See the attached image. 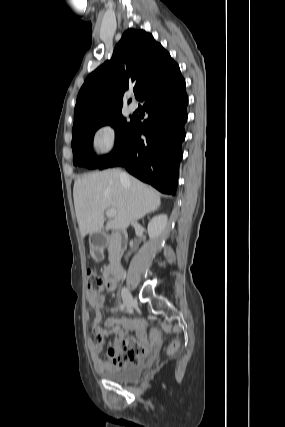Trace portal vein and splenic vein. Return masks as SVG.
I'll list each match as a JSON object with an SVG mask.
<instances>
[{
	"label": "portal vein and splenic vein",
	"instance_id": "18ae733b",
	"mask_svg": "<svg viewBox=\"0 0 285 427\" xmlns=\"http://www.w3.org/2000/svg\"><path fill=\"white\" fill-rule=\"evenodd\" d=\"M106 215L109 217V218H112V217H114L115 215H116V210H114V209H107L106 210Z\"/></svg>",
	"mask_w": 285,
	"mask_h": 427
}]
</instances>
